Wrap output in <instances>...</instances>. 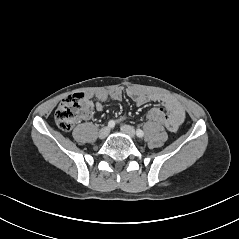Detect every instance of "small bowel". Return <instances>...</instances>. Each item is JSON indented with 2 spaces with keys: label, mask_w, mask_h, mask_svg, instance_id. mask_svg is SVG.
Instances as JSON below:
<instances>
[{
  "label": "small bowel",
  "mask_w": 239,
  "mask_h": 239,
  "mask_svg": "<svg viewBox=\"0 0 239 239\" xmlns=\"http://www.w3.org/2000/svg\"><path fill=\"white\" fill-rule=\"evenodd\" d=\"M127 95L138 105H143L148 102H156L162 104L167 110L168 114L163 124L170 132H177L180 125L185 119V110L182 104L175 98L161 94V93H144L139 90L130 89ZM122 92L120 90H112L108 93H97V101L95 103V108L97 111L103 110V102L108 98L112 100H121ZM122 122V120H120Z\"/></svg>",
  "instance_id": "obj_1"
}]
</instances>
